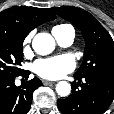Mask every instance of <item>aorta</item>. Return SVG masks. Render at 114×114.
<instances>
[{"label": "aorta", "mask_w": 114, "mask_h": 114, "mask_svg": "<svg viewBox=\"0 0 114 114\" xmlns=\"http://www.w3.org/2000/svg\"><path fill=\"white\" fill-rule=\"evenodd\" d=\"M32 47L37 54L47 55L54 50L55 41L48 33H38L32 41ZM56 92L60 96H68L71 92V85L61 81L56 85Z\"/></svg>", "instance_id": "1"}]
</instances>
